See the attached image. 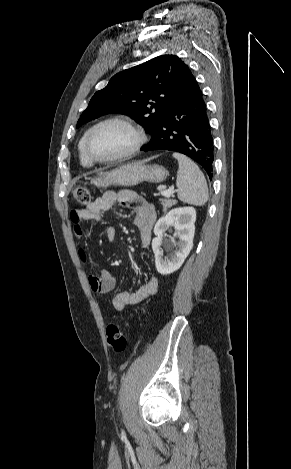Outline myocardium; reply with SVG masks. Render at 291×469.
<instances>
[{
    "label": "myocardium",
    "mask_w": 291,
    "mask_h": 469,
    "mask_svg": "<svg viewBox=\"0 0 291 469\" xmlns=\"http://www.w3.org/2000/svg\"><path fill=\"white\" fill-rule=\"evenodd\" d=\"M109 123H121V124H124L125 126H127L128 128H130L133 131V133L135 134V142L129 150H127L126 152H124L122 154H119L117 156L110 157V158H98V157L94 156L93 153L90 150V140H91V137H92L93 133L99 127H101L105 124H109ZM146 140H147V136H146V133H145L144 129L139 124H137L135 121H133L132 119H130L128 117H125V116H112V117L106 118V119L98 122L97 124L92 126L87 131V134H86V137H85V140H84V152H85L86 156L93 163H99V164L114 163V162L125 160V159L133 156L134 154H136L143 147V145L146 143Z\"/></svg>",
    "instance_id": "f54148a6"
}]
</instances>
